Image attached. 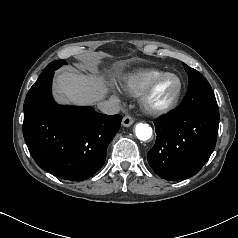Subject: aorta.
<instances>
[{
    "label": "aorta",
    "mask_w": 238,
    "mask_h": 238,
    "mask_svg": "<svg viewBox=\"0 0 238 238\" xmlns=\"http://www.w3.org/2000/svg\"><path fill=\"white\" fill-rule=\"evenodd\" d=\"M135 134L141 141L149 140L152 136V128L149 124L138 123L135 126Z\"/></svg>",
    "instance_id": "obj_1"
}]
</instances>
